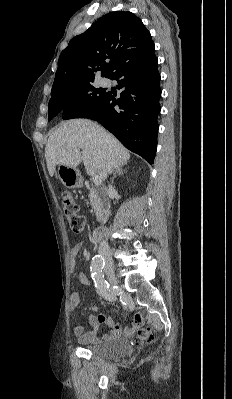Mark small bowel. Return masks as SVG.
<instances>
[{
  "instance_id": "obj_1",
  "label": "small bowel",
  "mask_w": 232,
  "mask_h": 399,
  "mask_svg": "<svg viewBox=\"0 0 232 399\" xmlns=\"http://www.w3.org/2000/svg\"><path fill=\"white\" fill-rule=\"evenodd\" d=\"M81 244L74 246L70 252L71 260L73 261L71 267L74 265V261L83 263L86 259L85 253L81 252ZM78 280L80 284L89 285L90 282L84 274H79ZM81 301L75 293H72L69 298L70 310H76ZM87 319L93 329L89 332H85L82 326H76L74 328L75 335L79 345H103L109 346L114 345L120 338L122 333H133L140 330L143 326V317L137 315L134 322L130 326H122L116 323L112 316L104 313H88ZM99 323H105L108 328V332L102 335L99 334Z\"/></svg>"
}]
</instances>
